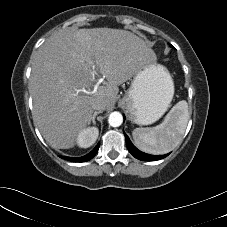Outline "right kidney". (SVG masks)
Segmentation results:
<instances>
[{
	"mask_svg": "<svg viewBox=\"0 0 227 227\" xmlns=\"http://www.w3.org/2000/svg\"><path fill=\"white\" fill-rule=\"evenodd\" d=\"M99 135V130L96 127H89L79 133L77 144L81 148H88L94 144Z\"/></svg>",
	"mask_w": 227,
	"mask_h": 227,
	"instance_id": "1",
	"label": "right kidney"
}]
</instances>
